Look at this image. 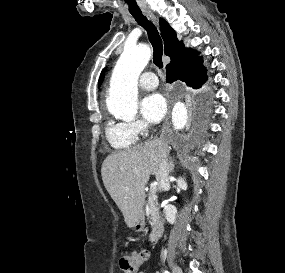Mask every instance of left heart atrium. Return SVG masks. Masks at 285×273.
<instances>
[{"instance_id": "obj_1", "label": "left heart atrium", "mask_w": 285, "mask_h": 273, "mask_svg": "<svg viewBox=\"0 0 285 273\" xmlns=\"http://www.w3.org/2000/svg\"><path fill=\"white\" fill-rule=\"evenodd\" d=\"M167 110L166 101L159 93L147 95L140 103V112L145 120L150 123L159 122Z\"/></svg>"}]
</instances>
